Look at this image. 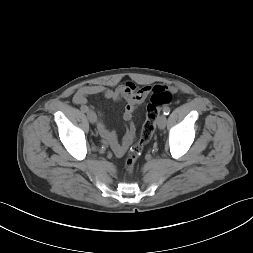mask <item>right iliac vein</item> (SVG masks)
I'll return each mask as SVG.
<instances>
[{
	"label": "right iliac vein",
	"mask_w": 253,
	"mask_h": 253,
	"mask_svg": "<svg viewBox=\"0 0 253 253\" xmlns=\"http://www.w3.org/2000/svg\"><path fill=\"white\" fill-rule=\"evenodd\" d=\"M87 117L92 124H94L97 120V116H96L95 112H93L91 110L87 112Z\"/></svg>",
	"instance_id": "63e3f726"
}]
</instances>
